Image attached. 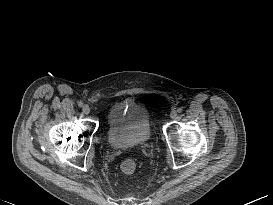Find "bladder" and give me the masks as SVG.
Segmentation results:
<instances>
[{
  "label": "bladder",
  "mask_w": 273,
  "mask_h": 205,
  "mask_svg": "<svg viewBox=\"0 0 273 205\" xmlns=\"http://www.w3.org/2000/svg\"><path fill=\"white\" fill-rule=\"evenodd\" d=\"M107 141L117 150H129L145 144L151 135L146 108L136 101L113 105L107 114Z\"/></svg>",
  "instance_id": "1"
}]
</instances>
